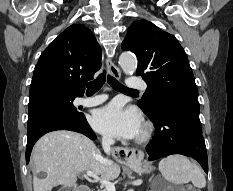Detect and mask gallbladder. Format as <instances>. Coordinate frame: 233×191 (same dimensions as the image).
Wrapping results in <instances>:
<instances>
[{"mask_svg": "<svg viewBox=\"0 0 233 191\" xmlns=\"http://www.w3.org/2000/svg\"><path fill=\"white\" fill-rule=\"evenodd\" d=\"M58 191H72L71 188L62 187Z\"/></svg>", "mask_w": 233, "mask_h": 191, "instance_id": "bac80fb5", "label": "gallbladder"}]
</instances>
